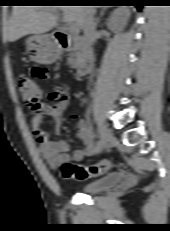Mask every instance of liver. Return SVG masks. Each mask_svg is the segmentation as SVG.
I'll list each match as a JSON object with an SVG mask.
<instances>
[{"label": "liver", "mask_w": 170, "mask_h": 231, "mask_svg": "<svg viewBox=\"0 0 170 231\" xmlns=\"http://www.w3.org/2000/svg\"><path fill=\"white\" fill-rule=\"evenodd\" d=\"M85 6H62L63 20L83 28ZM105 7V6H102ZM58 8L51 6H14L5 30L7 41L14 42L27 34H43L56 26Z\"/></svg>", "instance_id": "obj_1"}]
</instances>
